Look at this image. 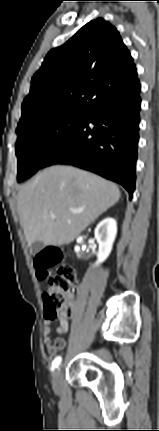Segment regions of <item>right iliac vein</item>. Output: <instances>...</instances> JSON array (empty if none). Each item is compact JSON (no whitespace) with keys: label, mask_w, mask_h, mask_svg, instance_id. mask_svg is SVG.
I'll return each instance as SVG.
<instances>
[{"label":"right iliac vein","mask_w":159,"mask_h":431,"mask_svg":"<svg viewBox=\"0 0 159 431\" xmlns=\"http://www.w3.org/2000/svg\"><path fill=\"white\" fill-rule=\"evenodd\" d=\"M62 370L61 367L57 368L53 374L52 385L54 390L58 391L61 387Z\"/></svg>","instance_id":"right-iliac-vein-1"}]
</instances>
